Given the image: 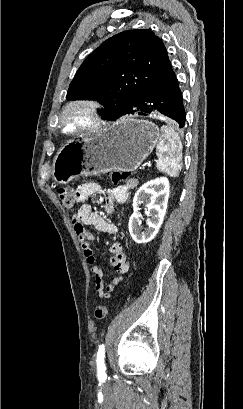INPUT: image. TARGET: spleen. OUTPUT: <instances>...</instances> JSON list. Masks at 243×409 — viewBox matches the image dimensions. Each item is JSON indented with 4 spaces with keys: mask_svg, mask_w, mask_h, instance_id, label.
Here are the masks:
<instances>
[{
    "mask_svg": "<svg viewBox=\"0 0 243 409\" xmlns=\"http://www.w3.org/2000/svg\"><path fill=\"white\" fill-rule=\"evenodd\" d=\"M158 161L156 167L171 177H177L181 170L182 143L178 133L167 125L161 127V136L157 144Z\"/></svg>",
    "mask_w": 243,
    "mask_h": 409,
    "instance_id": "1",
    "label": "spleen"
}]
</instances>
